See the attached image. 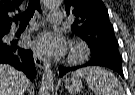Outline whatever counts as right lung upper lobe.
<instances>
[{"mask_svg":"<svg viewBox=\"0 0 135 95\" xmlns=\"http://www.w3.org/2000/svg\"><path fill=\"white\" fill-rule=\"evenodd\" d=\"M22 0H0V31L11 28L10 15L15 10L19 11Z\"/></svg>","mask_w":135,"mask_h":95,"instance_id":"cb5924a9","label":"right lung upper lobe"}]
</instances>
